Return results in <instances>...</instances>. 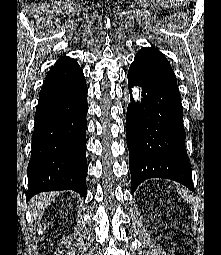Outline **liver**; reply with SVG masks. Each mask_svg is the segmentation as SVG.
I'll use <instances>...</instances> for the list:
<instances>
[{"instance_id":"1","label":"liver","mask_w":221,"mask_h":255,"mask_svg":"<svg viewBox=\"0 0 221 255\" xmlns=\"http://www.w3.org/2000/svg\"><path fill=\"white\" fill-rule=\"evenodd\" d=\"M54 200L52 194H39L36 195L31 202L32 213L34 217H41L48 205Z\"/></svg>"}]
</instances>
